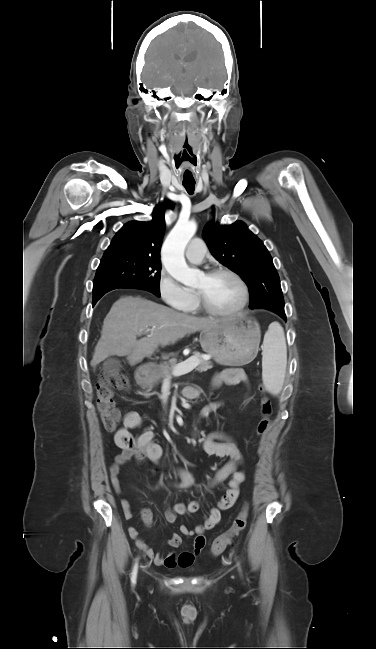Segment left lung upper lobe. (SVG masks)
Returning <instances> with one entry per match:
<instances>
[{"label": "left lung upper lobe", "mask_w": 376, "mask_h": 649, "mask_svg": "<svg viewBox=\"0 0 376 649\" xmlns=\"http://www.w3.org/2000/svg\"><path fill=\"white\" fill-rule=\"evenodd\" d=\"M203 237L212 255L224 266L241 275L250 289L251 309L265 308L285 315L279 275L268 250L243 223H208Z\"/></svg>", "instance_id": "obj_1"}]
</instances>
